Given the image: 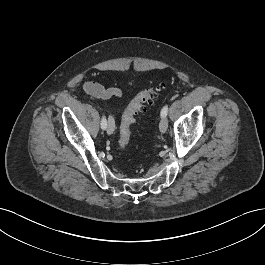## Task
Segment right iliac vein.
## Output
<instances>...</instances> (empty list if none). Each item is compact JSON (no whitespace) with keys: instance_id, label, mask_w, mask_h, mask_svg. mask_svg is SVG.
Segmentation results:
<instances>
[{"instance_id":"63e3f726","label":"right iliac vein","mask_w":265,"mask_h":265,"mask_svg":"<svg viewBox=\"0 0 265 265\" xmlns=\"http://www.w3.org/2000/svg\"><path fill=\"white\" fill-rule=\"evenodd\" d=\"M115 129V123L112 117L108 118V122H107V127H106V131L108 134H112L114 132Z\"/></svg>"}]
</instances>
